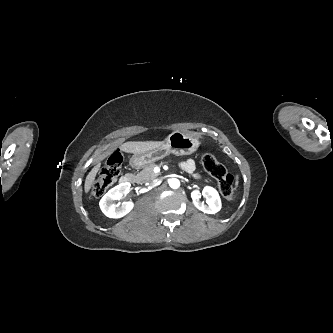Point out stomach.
<instances>
[{
  "instance_id": "obj_1",
  "label": "stomach",
  "mask_w": 333,
  "mask_h": 333,
  "mask_svg": "<svg viewBox=\"0 0 333 333\" xmlns=\"http://www.w3.org/2000/svg\"><path fill=\"white\" fill-rule=\"evenodd\" d=\"M163 143L164 145L154 150L134 154L130 159V165L135 169H139L170 154L189 155L195 152L200 145L197 137L180 131L172 132Z\"/></svg>"
}]
</instances>
